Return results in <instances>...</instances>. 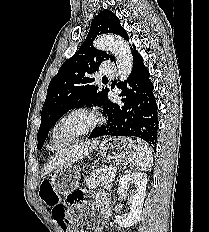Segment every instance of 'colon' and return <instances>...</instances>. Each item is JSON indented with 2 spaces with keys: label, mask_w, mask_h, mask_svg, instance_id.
Segmentation results:
<instances>
[{
  "label": "colon",
  "mask_w": 209,
  "mask_h": 232,
  "mask_svg": "<svg viewBox=\"0 0 209 232\" xmlns=\"http://www.w3.org/2000/svg\"><path fill=\"white\" fill-rule=\"evenodd\" d=\"M39 194L42 201L51 208L52 216L55 221L63 229H66L69 225L67 212L64 208V203L60 202V198L54 191L50 181L45 180L42 182Z\"/></svg>",
  "instance_id": "5ec220e1"
}]
</instances>
